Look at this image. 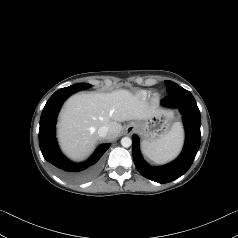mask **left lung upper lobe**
Listing matches in <instances>:
<instances>
[{"instance_id": "left-lung-upper-lobe-1", "label": "left lung upper lobe", "mask_w": 238, "mask_h": 238, "mask_svg": "<svg viewBox=\"0 0 238 238\" xmlns=\"http://www.w3.org/2000/svg\"><path fill=\"white\" fill-rule=\"evenodd\" d=\"M165 84H166V89H167L168 93H173V92L179 90L180 88H182V87L178 86L176 83L169 81V80H165Z\"/></svg>"}]
</instances>
